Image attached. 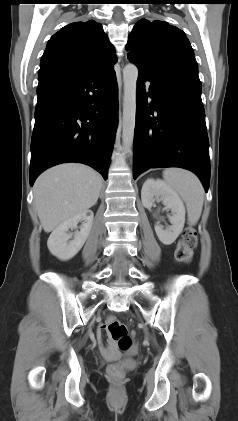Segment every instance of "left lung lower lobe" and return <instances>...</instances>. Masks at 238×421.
<instances>
[{"instance_id":"1","label":"left lung lower lobe","mask_w":238,"mask_h":421,"mask_svg":"<svg viewBox=\"0 0 238 421\" xmlns=\"http://www.w3.org/2000/svg\"><path fill=\"white\" fill-rule=\"evenodd\" d=\"M146 80L151 83L148 93ZM148 97L152 99L149 105ZM163 167L194 172L208 191L209 141L198 73L154 78L139 72L133 177L150 168Z\"/></svg>"}]
</instances>
